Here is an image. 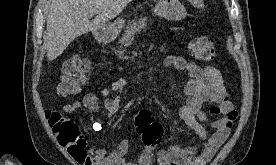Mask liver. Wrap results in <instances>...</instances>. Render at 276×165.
Here are the masks:
<instances>
[{"mask_svg":"<svg viewBox=\"0 0 276 165\" xmlns=\"http://www.w3.org/2000/svg\"><path fill=\"white\" fill-rule=\"evenodd\" d=\"M130 2L132 0H52L44 34L48 61L59 57L78 36L103 27ZM93 14L96 17L90 21Z\"/></svg>","mask_w":276,"mask_h":165,"instance_id":"1","label":"liver"}]
</instances>
